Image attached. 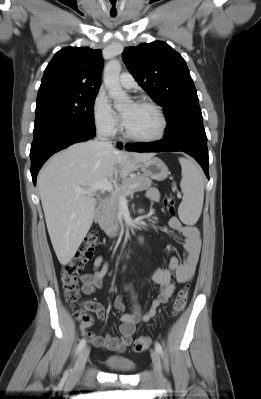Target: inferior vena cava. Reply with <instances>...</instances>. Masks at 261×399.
<instances>
[{"mask_svg": "<svg viewBox=\"0 0 261 399\" xmlns=\"http://www.w3.org/2000/svg\"><path fill=\"white\" fill-rule=\"evenodd\" d=\"M98 138H99L100 140L104 141L108 146L113 147L112 144H111L110 142L106 141V139L103 138L102 132H101V131H99V133H98Z\"/></svg>", "mask_w": 261, "mask_h": 399, "instance_id": "1", "label": "inferior vena cava"}]
</instances>
